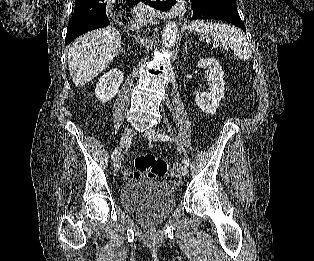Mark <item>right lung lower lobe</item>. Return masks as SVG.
<instances>
[{
    "mask_svg": "<svg viewBox=\"0 0 314 261\" xmlns=\"http://www.w3.org/2000/svg\"><path fill=\"white\" fill-rule=\"evenodd\" d=\"M138 1L140 0H128L120 7L124 11L123 19L129 20L132 17V8ZM106 5V0H75V10L68 24L65 44L88 31L108 26L110 21L106 15Z\"/></svg>",
    "mask_w": 314,
    "mask_h": 261,
    "instance_id": "98d812e1",
    "label": "right lung lower lobe"
}]
</instances>
